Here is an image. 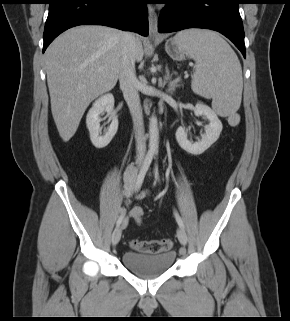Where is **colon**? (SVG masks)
<instances>
[{
	"label": "colon",
	"mask_w": 290,
	"mask_h": 321,
	"mask_svg": "<svg viewBox=\"0 0 290 321\" xmlns=\"http://www.w3.org/2000/svg\"><path fill=\"white\" fill-rule=\"evenodd\" d=\"M133 219L140 223L144 216V211L140 207H136L131 212ZM172 241L168 238L156 240H133L131 247L141 253L159 254L170 251L172 248Z\"/></svg>",
	"instance_id": "1"
}]
</instances>
